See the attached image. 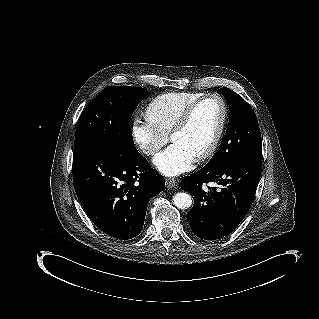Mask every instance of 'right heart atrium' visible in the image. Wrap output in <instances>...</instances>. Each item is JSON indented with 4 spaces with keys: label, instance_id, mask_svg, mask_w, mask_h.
I'll return each instance as SVG.
<instances>
[{
    "label": "right heart atrium",
    "instance_id": "1",
    "mask_svg": "<svg viewBox=\"0 0 319 319\" xmlns=\"http://www.w3.org/2000/svg\"><path fill=\"white\" fill-rule=\"evenodd\" d=\"M134 135L136 143L148 150L154 152L161 149L165 143L166 139L162 131L149 127L147 124H136L134 127Z\"/></svg>",
    "mask_w": 319,
    "mask_h": 319
}]
</instances>
